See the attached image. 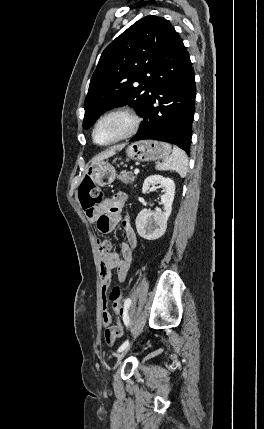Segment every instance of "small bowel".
<instances>
[{
	"label": "small bowel",
	"mask_w": 264,
	"mask_h": 429,
	"mask_svg": "<svg viewBox=\"0 0 264 429\" xmlns=\"http://www.w3.org/2000/svg\"><path fill=\"white\" fill-rule=\"evenodd\" d=\"M126 194L118 192L114 196L105 199L94 208L91 213L85 212L89 222L96 224L102 233L113 231L119 223L122 224L126 235V241L120 246L121 256L112 249V244L107 240H98L100 254V277L103 315L102 323L105 328V339L108 344H113L123 334V327L119 321H114L108 311V289L111 283V272L114 270L120 282L126 278L134 253L138 246L137 235L128 219H122L119 212L126 201Z\"/></svg>",
	"instance_id": "1"
}]
</instances>
